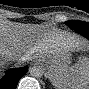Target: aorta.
Segmentation results:
<instances>
[{
    "instance_id": "aorta-1",
    "label": "aorta",
    "mask_w": 89,
    "mask_h": 89,
    "mask_svg": "<svg viewBox=\"0 0 89 89\" xmlns=\"http://www.w3.org/2000/svg\"><path fill=\"white\" fill-rule=\"evenodd\" d=\"M29 73L33 77H40L44 73L43 66L40 64H34L29 68Z\"/></svg>"
}]
</instances>
